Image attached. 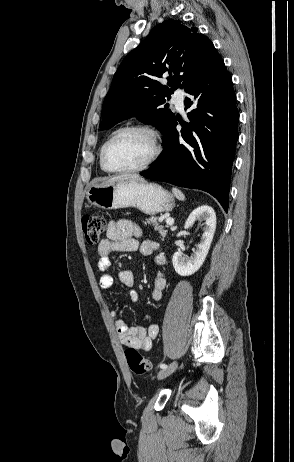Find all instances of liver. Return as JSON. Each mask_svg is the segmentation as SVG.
Here are the masks:
<instances>
[{"label":"liver","instance_id":"6515ba94","mask_svg":"<svg viewBox=\"0 0 294 462\" xmlns=\"http://www.w3.org/2000/svg\"><path fill=\"white\" fill-rule=\"evenodd\" d=\"M124 179L143 181V179L141 177H139L138 175L124 174V175H119V176H116V177H112L106 183H111V182L124 180Z\"/></svg>","mask_w":294,"mask_h":462}]
</instances>
